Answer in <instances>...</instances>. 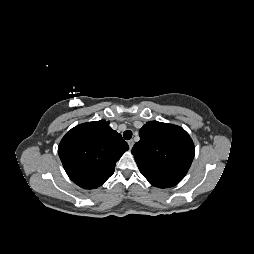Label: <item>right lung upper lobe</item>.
Listing matches in <instances>:
<instances>
[{"label":"right lung upper lobe","instance_id":"right-lung-upper-lobe-1","mask_svg":"<svg viewBox=\"0 0 254 254\" xmlns=\"http://www.w3.org/2000/svg\"><path fill=\"white\" fill-rule=\"evenodd\" d=\"M128 144L105 120L72 128L61 140L58 154L69 178L84 189H95L114 173Z\"/></svg>","mask_w":254,"mask_h":254}]
</instances>
